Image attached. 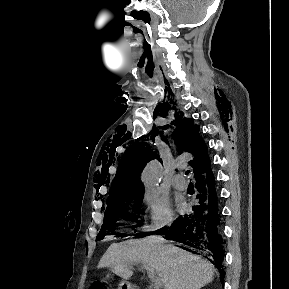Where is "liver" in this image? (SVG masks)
Here are the masks:
<instances>
[{
	"instance_id": "obj_1",
	"label": "liver",
	"mask_w": 289,
	"mask_h": 289,
	"mask_svg": "<svg viewBox=\"0 0 289 289\" xmlns=\"http://www.w3.org/2000/svg\"><path fill=\"white\" fill-rule=\"evenodd\" d=\"M138 262L157 272L164 289H200L214 278V267L209 261L153 237L112 244L98 267H109L127 280L133 274L130 265Z\"/></svg>"
}]
</instances>
